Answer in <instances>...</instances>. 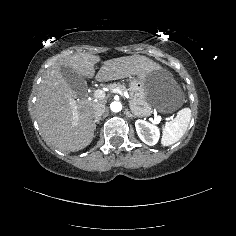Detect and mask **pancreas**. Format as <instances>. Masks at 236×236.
Instances as JSON below:
<instances>
[{
  "mask_svg": "<svg viewBox=\"0 0 236 236\" xmlns=\"http://www.w3.org/2000/svg\"><path fill=\"white\" fill-rule=\"evenodd\" d=\"M109 88H110V89L118 88V89H120L122 92L127 91V90H126V87H125L124 85L116 84V83L110 84V85H109Z\"/></svg>",
  "mask_w": 236,
  "mask_h": 236,
  "instance_id": "1",
  "label": "pancreas"
}]
</instances>
